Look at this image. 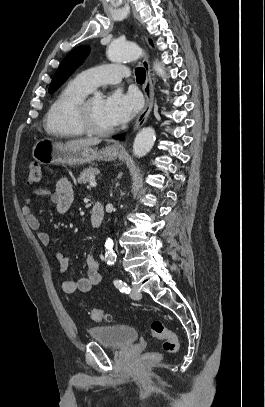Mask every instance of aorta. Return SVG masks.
<instances>
[{
    "label": "aorta",
    "mask_w": 265,
    "mask_h": 407,
    "mask_svg": "<svg viewBox=\"0 0 265 407\" xmlns=\"http://www.w3.org/2000/svg\"><path fill=\"white\" fill-rule=\"evenodd\" d=\"M141 55L142 49L133 42L114 40L107 49V57L112 62L135 61ZM153 69L159 76L166 77L164 67L159 63L155 62ZM97 96H100V94H97ZM155 138V130L152 127L143 128L135 137L133 143L134 155L137 157L145 156L154 145ZM106 249L105 259L109 265H113L116 258L113 251V242L110 238L106 241Z\"/></svg>",
    "instance_id": "762f6f07"
}]
</instances>
